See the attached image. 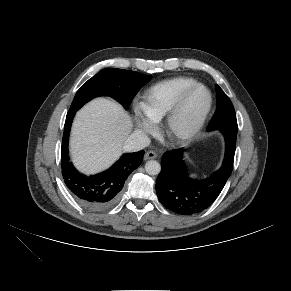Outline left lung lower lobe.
Here are the masks:
<instances>
[{
  "mask_svg": "<svg viewBox=\"0 0 291 291\" xmlns=\"http://www.w3.org/2000/svg\"><path fill=\"white\" fill-rule=\"evenodd\" d=\"M215 129L224 135L226 151L222 166L208 178L199 180L189 177L182 160L184 149L163 155L156 193L167 209L181 215L196 214L208 208L221 193L232 172L238 127L220 125L207 128L208 131Z\"/></svg>",
  "mask_w": 291,
  "mask_h": 291,
  "instance_id": "1",
  "label": "left lung lower lobe"
}]
</instances>
